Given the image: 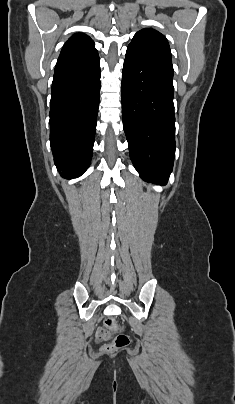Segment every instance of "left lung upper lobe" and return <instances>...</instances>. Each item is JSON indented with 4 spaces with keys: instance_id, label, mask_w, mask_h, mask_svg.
Here are the masks:
<instances>
[{
    "instance_id": "1",
    "label": "left lung upper lobe",
    "mask_w": 235,
    "mask_h": 404,
    "mask_svg": "<svg viewBox=\"0 0 235 404\" xmlns=\"http://www.w3.org/2000/svg\"><path fill=\"white\" fill-rule=\"evenodd\" d=\"M129 46L142 49L172 61L171 51L167 39L164 35L154 29L146 28L137 32Z\"/></svg>"
}]
</instances>
